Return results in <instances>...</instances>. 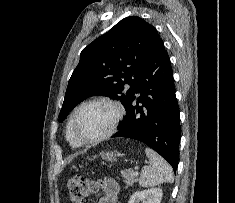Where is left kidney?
Instances as JSON below:
<instances>
[{
	"instance_id": "1",
	"label": "left kidney",
	"mask_w": 235,
	"mask_h": 203,
	"mask_svg": "<svg viewBox=\"0 0 235 203\" xmlns=\"http://www.w3.org/2000/svg\"><path fill=\"white\" fill-rule=\"evenodd\" d=\"M162 195L161 188L137 191L130 197L128 203H160Z\"/></svg>"
}]
</instances>
